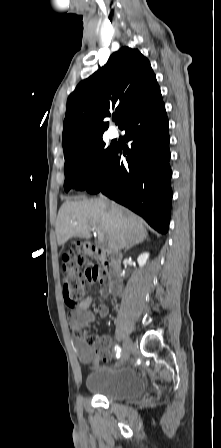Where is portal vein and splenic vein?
<instances>
[{
	"mask_svg": "<svg viewBox=\"0 0 221 448\" xmlns=\"http://www.w3.org/2000/svg\"><path fill=\"white\" fill-rule=\"evenodd\" d=\"M104 237L105 236H104L103 233H101V232L98 233V239H99L100 242H104Z\"/></svg>",
	"mask_w": 221,
	"mask_h": 448,
	"instance_id": "1",
	"label": "portal vein and splenic vein"
}]
</instances>
